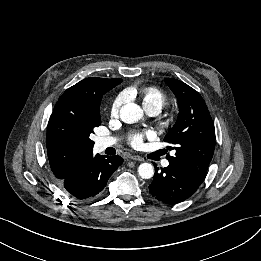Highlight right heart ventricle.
Returning a JSON list of instances; mask_svg holds the SVG:
<instances>
[{
	"instance_id": "e07e8e85",
	"label": "right heart ventricle",
	"mask_w": 261,
	"mask_h": 261,
	"mask_svg": "<svg viewBox=\"0 0 261 261\" xmlns=\"http://www.w3.org/2000/svg\"><path fill=\"white\" fill-rule=\"evenodd\" d=\"M127 95L133 93L132 89L125 91ZM138 95L142 99L145 109L148 110H161L167 101V95L160 89L155 87H148L141 89Z\"/></svg>"
}]
</instances>
